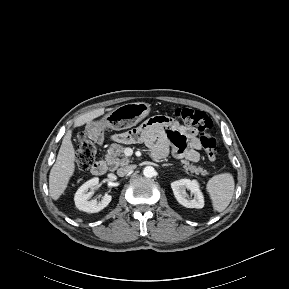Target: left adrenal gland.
I'll return each instance as SVG.
<instances>
[{
    "instance_id": "left-adrenal-gland-1",
    "label": "left adrenal gland",
    "mask_w": 289,
    "mask_h": 289,
    "mask_svg": "<svg viewBox=\"0 0 289 289\" xmlns=\"http://www.w3.org/2000/svg\"><path fill=\"white\" fill-rule=\"evenodd\" d=\"M172 164L170 163H166V164H163L162 166H171Z\"/></svg>"
}]
</instances>
